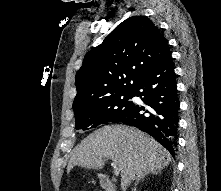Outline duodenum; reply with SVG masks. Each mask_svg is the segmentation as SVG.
<instances>
[{"label": "duodenum", "instance_id": "duodenum-1", "mask_svg": "<svg viewBox=\"0 0 221 191\" xmlns=\"http://www.w3.org/2000/svg\"><path fill=\"white\" fill-rule=\"evenodd\" d=\"M100 185L107 191H117L115 184L111 180V178L107 175L99 176Z\"/></svg>", "mask_w": 221, "mask_h": 191}]
</instances>
